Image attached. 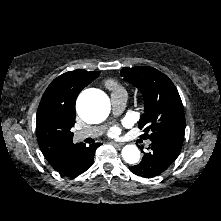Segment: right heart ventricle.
<instances>
[{
  "label": "right heart ventricle",
  "mask_w": 221,
  "mask_h": 221,
  "mask_svg": "<svg viewBox=\"0 0 221 221\" xmlns=\"http://www.w3.org/2000/svg\"><path fill=\"white\" fill-rule=\"evenodd\" d=\"M106 86L114 91H118V90L124 91V89L117 82L113 80L106 81Z\"/></svg>",
  "instance_id": "right-heart-ventricle-1"
}]
</instances>
